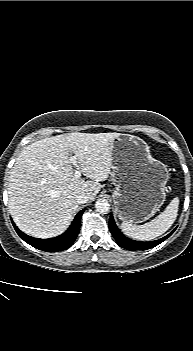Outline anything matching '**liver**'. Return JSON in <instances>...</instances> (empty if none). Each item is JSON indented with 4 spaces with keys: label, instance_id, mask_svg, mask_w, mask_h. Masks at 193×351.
<instances>
[{
    "label": "liver",
    "instance_id": "obj_1",
    "mask_svg": "<svg viewBox=\"0 0 193 351\" xmlns=\"http://www.w3.org/2000/svg\"><path fill=\"white\" fill-rule=\"evenodd\" d=\"M119 133L57 135L31 143L19 154L8 186V207L16 225L36 238L63 233L78 208L76 196L93 200L112 170L113 140ZM74 154L84 181L75 178Z\"/></svg>",
    "mask_w": 193,
    "mask_h": 351
}]
</instances>
